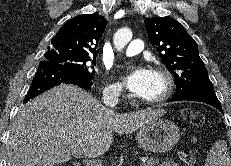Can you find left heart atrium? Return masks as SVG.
Here are the masks:
<instances>
[{
	"label": "left heart atrium",
	"instance_id": "39dd6f15",
	"mask_svg": "<svg viewBox=\"0 0 231 166\" xmlns=\"http://www.w3.org/2000/svg\"><path fill=\"white\" fill-rule=\"evenodd\" d=\"M152 73L148 68H137L126 76L124 84L132 95L143 97L150 88Z\"/></svg>",
	"mask_w": 231,
	"mask_h": 166
}]
</instances>
